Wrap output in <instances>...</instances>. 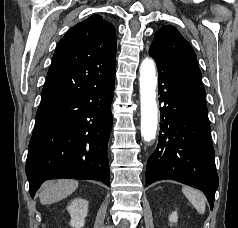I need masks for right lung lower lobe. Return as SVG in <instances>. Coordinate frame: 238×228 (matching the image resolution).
Masks as SVG:
<instances>
[{
    "label": "right lung lower lobe",
    "mask_w": 238,
    "mask_h": 228,
    "mask_svg": "<svg viewBox=\"0 0 238 228\" xmlns=\"http://www.w3.org/2000/svg\"><path fill=\"white\" fill-rule=\"evenodd\" d=\"M114 80L115 76L94 89L39 105L26 161L31 197L48 179L110 184L107 144Z\"/></svg>",
    "instance_id": "98d812e1"
}]
</instances>
